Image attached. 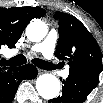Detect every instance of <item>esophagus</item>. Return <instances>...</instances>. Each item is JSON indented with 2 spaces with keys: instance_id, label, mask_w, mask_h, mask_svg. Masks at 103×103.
Instances as JSON below:
<instances>
[{
  "instance_id": "1",
  "label": "esophagus",
  "mask_w": 103,
  "mask_h": 103,
  "mask_svg": "<svg viewBox=\"0 0 103 103\" xmlns=\"http://www.w3.org/2000/svg\"><path fill=\"white\" fill-rule=\"evenodd\" d=\"M42 73H44V70L38 69V74H42Z\"/></svg>"
}]
</instances>
